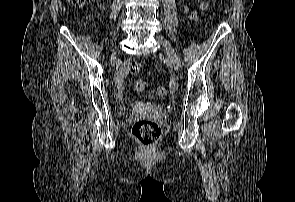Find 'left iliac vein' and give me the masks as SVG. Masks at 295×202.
<instances>
[{"label": "left iliac vein", "instance_id": "1", "mask_svg": "<svg viewBox=\"0 0 295 202\" xmlns=\"http://www.w3.org/2000/svg\"><path fill=\"white\" fill-rule=\"evenodd\" d=\"M157 40L164 47L172 67L178 69L180 67V60L172 45L162 36H158Z\"/></svg>", "mask_w": 295, "mask_h": 202}]
</instances>
